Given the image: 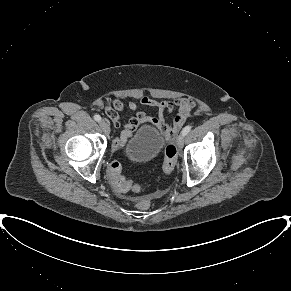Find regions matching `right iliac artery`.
I'll return each mask as SVG.
<instances>
[{
    "label": "right iliac artery",
    "mask_w": 291,
    "mask_h": 291,
    "mask_svg": "<svg viewBox=\"0 0 291 291\" xmlns=\"http://www.w3.org/2000/svg\"><path fill=\"white\" fill-rule=\"evenodd\" d=\"M94 119L97 121V122H100L101 121V116L96 114L94 115Z\"/></svg>",
    "instance_id": "1"
}]
</instances>
